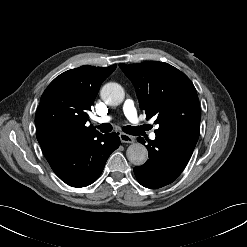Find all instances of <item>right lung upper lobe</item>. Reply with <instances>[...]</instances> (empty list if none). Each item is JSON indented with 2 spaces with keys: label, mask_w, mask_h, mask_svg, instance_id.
Listing matches in <instances>:
<instances>
[{
  "label": "right lung upper lobe",
  "mask_w": 247,
  "mask_h": 247,
  "mask_svg": "<svg viewBox=\"0 0 247 247\" xmlns=\"http://www.w3.org/2000/svg\"><path fill=\"white\" fill-rule=\"evenodd\" d=\"M116 69L81 66L56 77L44 91L35 115L36 136L45 156L65 138L99 134L86 126L101 83Z\"/></svg>",
  "instance_id": "right-lung-upper-lobe-1"
}]
</instances>
